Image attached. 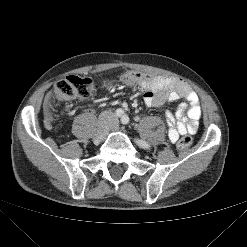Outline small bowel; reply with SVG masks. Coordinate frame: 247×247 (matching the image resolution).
Segmentation results:
<instances>
[{
    "mask_svg": "<svg viewBox=\"0 0 247 247\" xmlns=\"http://www.w3.org/2000/svg\"><path fill=\"white\" fill-rule=\"evenodd\" d=\"M144 90V102L147 107H160L166 101L185 100L179 108L172 112L166 110L165 118L168 125V137L173 143L187 133L194 134L199 127L201 107L196 93L183 81L173 77H159L155 80L140 84ZM53 94L46 99V126L52 124L51 102Z\"/></svg>",
    "mask_w": 247,
    "mask_h": 247,
    "instance_id": "obj_1",
    "label": "small bowel"
}]
</instances>
